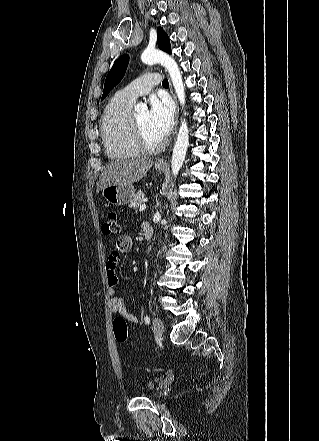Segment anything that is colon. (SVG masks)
Returning <instances> with one entry per match:
<instances>
[{
  "label": "colon",
  "mask_w": 319,
  "mask_h": 441,
  "mask_svg": "<svg viewBox=\"0 0 319 441\" xmlns=\"http://www.w3.org/2000/svg\"><path fill=\"white\" fill-rule=\"evenodd\" d=\"M121 226L118 219V214L115 211H110L106 215L103 224L102 232L104 235H117L120 233ZM113 331L115 339L123 343L127 340L128 329L126 319L118 316L113 320Z\"/></svg>",
  "instance_id": "obj_1"
}]
</instances>
